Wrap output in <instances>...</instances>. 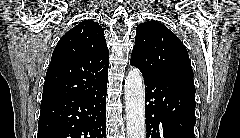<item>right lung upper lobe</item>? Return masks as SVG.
Segmentation results:
<instances>
[{
	"label": "right lung upper lobe",
	"mask_w": 240,
	"mask_h": 138,
	"mask_svg": "<svg viewBox=\"0 0 240 138\" xmlns=\"http://www.w3.org/2000/svg\"><path fill=\"white\" fill-rule=\"evenodd\" d=\"M108 55L99 23L84 20L70 29L53 51L41 106L85 94L106 81Z\"/></svg>",
	"instance_id": "obj_1"
}]
</instances>
